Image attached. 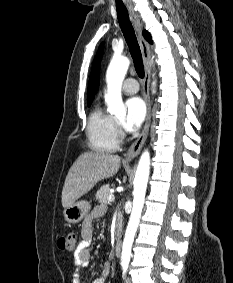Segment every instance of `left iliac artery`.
Returning <instances> with one entry per match:
<instances>
[{
    "instance_id": "44dca946",
    "label": "left iliac artery",
    "mask_w": 233,
    "mask_h": 283,
    "mask_svg": "<svg viewBox=\"0 0 233 283\" xmlns=\"http://www.w3.org/2000/svg\"><path fill=\"white\" fill-rule=\"evenodd\" d=\"M126 274V268H123V278L125 277Z\"/></svg>"
}]
</instances>
